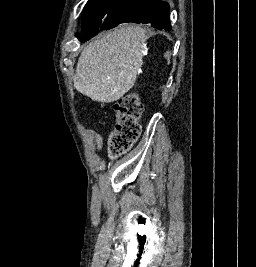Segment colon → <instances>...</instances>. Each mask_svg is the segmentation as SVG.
I'll list each match as a JSON object with an SVG mask.
<instances>
[{"label": "colon", "mask_w": 256, "mask_h": 267, "mask_svg": "<svg viewBox=\"0 0 256 267\" xmlns=\"http://www.w3.org/2000/svg\"><path fill=\"white\" fill-rule=\"evenodd\" d=\"M117 113V124L110 138V149L114 156L120 155L131 148L139 138V119L143 113V106L139 101L138 92L126 94L113 105Z\"/></svg>", "instance_id": "1"}]
</instances>
